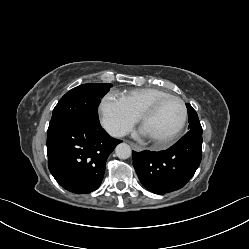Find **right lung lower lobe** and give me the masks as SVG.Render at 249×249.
I'll return each mask as SVG.
<instances>
[{"label": "right lung lower lobe", "instance_id": "right-lung-lower-lobe-1", "mask_svg": "<svg viewBox=\"0 0 249 249\" xmlns=\"http://www.w3.org/2000/svg\"><path fill=\"white\" fill-rule=\"evenodd\" d=\"M121 140L100 124H76L47 135L48 167L55 180L76 194L99 188L108 156Z\"/></svg>", "mask_w": 249, "mask_h": 249}]
</instances>
